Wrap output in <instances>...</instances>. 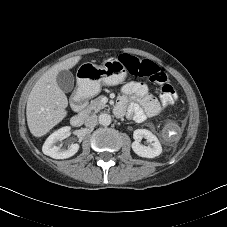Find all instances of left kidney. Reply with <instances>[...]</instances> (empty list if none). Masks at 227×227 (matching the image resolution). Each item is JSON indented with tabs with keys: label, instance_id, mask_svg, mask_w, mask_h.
I'll return each instance as SVG.
<instances>
[{
	"label": "left kidney",
	"instance_id": "obj_1",
	"mask_svg": "<svg viewBox=\"0 0 227 227\" xmlns=\"http://www.w3.org/2000/svg\"><path fill=\"white\" fill-rule=\"evenodd\" d=\"M134 142L132 143L133 151L140 157L155 158L162 152L161 144L158 138L149 130L137 129L133 133ZM145 138L149 146L142 145L140 142Z\"/></svg>",
	"mask_w": 227,
	"mask_h": 227
}]
</instances>
